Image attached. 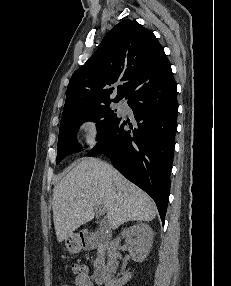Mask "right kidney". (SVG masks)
I'll return each instance as SVG.
<instances>
[{
  "instance_id": "right-kidney-1",
  "label": "right kidney",
  "mask_w": 231,
  "mask_h": 286,
  "mask_svg": "<svg viewBox=\"0 0 231 286\" xmlns=\"http://www.w3.org/2000/svg\"><path fill=\"white\" fill-rule=\"evenodd\" d=\"M121 237L125 238L128 251L131 255V258L136 262L143 261L150 252V249L153 244L154 232L152 228L144 223H139L133 226L128 227L123 230ZM121 237H117L112 242L113 253L110 255V258L107 263V273L105 277V286H123L132 278V273H126L122 278L118 280L112 279V272L116 269L118 262L116 260L115 251L119 246Z\"/></svg>"
}]
</instances>
